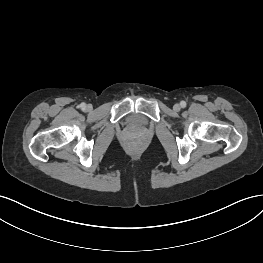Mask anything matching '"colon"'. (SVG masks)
Wrapping results in <instances>:
<instances>
[{
	"label": "colon",
	"mask_w": 263,
	"mask_h": 263,
	"mask_svg": "<svg viewBox=\"0 0 263 263\" xmlns=\"http://www.w3.org/2000/svg\"><path fill=\"white\" fill-rule=\"evenodd\" d=\"M138 145L134 142L130 143L129 144V149L132 151V152H136L138 150Z\"/></svg>",
	"instance_id": "1"
}]
</instances>
